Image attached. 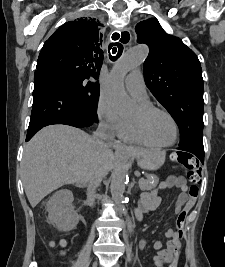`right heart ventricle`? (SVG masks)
Wrapping results in <instances>:
<instances>
[{
    "label": "right heart ventricle",
    "instance_id": "e07e8e85",
    "mask_svg": "<svg viewBox=\"0 0 225 267\" xmlns=\"http://www.w3.org/2000/svg\"><path fill=\"white\" fill-rule=\"evenodd\" d=\"M144 106H148L147 101L140 102V107H144ZM122 137L128 142H131V143H134V144L146 147V148H151V149L158 148L145 138V136L139 129L134 119L127 120L126 128H125V131Z\"/></svg>",
    "mask_w": 225,
    "mask_h": 267
}]
</instances>
